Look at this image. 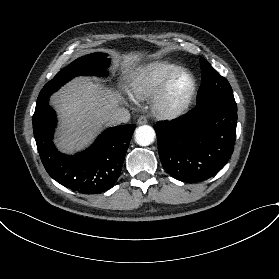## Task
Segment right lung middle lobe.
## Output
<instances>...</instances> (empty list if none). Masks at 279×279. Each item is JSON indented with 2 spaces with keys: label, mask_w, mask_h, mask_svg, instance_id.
I'll return each mask as SVG.
<instances>
[{
  "label": "right lung middle lobe",
  "mask_w": 279,
  "mask_h": 279,
  "mask_svg": "<svg viewBox=\"0 0 279 279\" xmlns=\"http://www.w3.org/2000/svg\"><path fill=\"white\" fill-rule=\"evenodd\" d=\"M110 59L105 53H92L80 57L69 64L67 67L59 71L56 76L49 81L41 90L37 102L44 101L57 91L68 80L79 75H98L105 76L107 74Z\"/></svg>",
  "instance_id": "right-lung-middle-lobe-1"
}]
</instances>
